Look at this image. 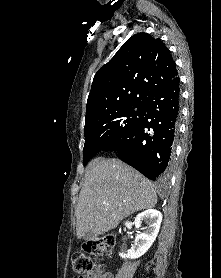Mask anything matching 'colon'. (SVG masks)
Segmentation results:
<instances>
[{
    "label": "colon",
    "instance_id": "obj_1",
    "mask_svg": "<svg viewBox=\"0 0 221 278\" xmlns=\"http://www.w3.org/2000/svg\"><path fill=\"white\" fill-rule=\"evenodd\" d=\"M114 244L112 237H105L88 242L85 245V251L95 256H101L105 251L110 249ZM72 265L80 278H91L98 273L99 268L93 260L83 253H76L72 256Z\"/></svg>",
    "mask_w": 221,
    "mask_h": 278
}]
</instances>
